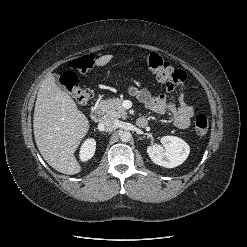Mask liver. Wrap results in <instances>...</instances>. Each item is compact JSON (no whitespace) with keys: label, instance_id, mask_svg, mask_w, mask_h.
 I'll return each instance as SVG.
<instances>
[{"label":"liver","instance_id":"1","mask_svg":"<svg viewBox=\"0 0 247 247\" xmlns=\"http://www.w3.org/2000/svg\"><path fill=\"white\" fill-rule=\"evenodd\" d=\"M112 58L113 55L101 56L95 65L105 66ZM33 129L38 150L51 167L67 175L81 171L74 152L89 130V120L58 87L52 74L43 80L38 91Z\"/></svg>","mask_w":247,"mask_h":247}]
</instances>
